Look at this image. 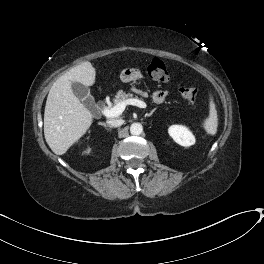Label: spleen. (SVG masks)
<instances>
[{
  "label": "spleen",
  "instance_id": "spleen-1",
  "mask_svg": "<svg viewBox=\"0 0 264 264\" xmlns=\"http://www.w3.org/2000/svg\"><path fill=\"white\" fill-rule=\"evenodd\" d=\"M203 126L208 134H216L218 126L217 110L211 96L209 101V116L205 119Z\"/></svg>",
  "mask_w": 264,
  "mask_h": 264
}]
</instances>
